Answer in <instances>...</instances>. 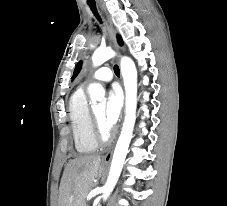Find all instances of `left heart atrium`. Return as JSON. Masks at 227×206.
Segmentation results:
<instances>
[{
    "instance_id": "left-heart-atrium-1",
    "label": "left heart atrium",
    "mask_w": 227,
    "mask_h": 206,
    "mask_svg": "<svg viewBox=\"0 0 227 206\" xmlns=\"http://www.w3.org/2000/svg\"><path fill=\"white\" fill-rule=\"evenodd\" d=\"M122 104L123 97L121 91L118 88L111 89L108 93L103 115V123L108 131L111 130L118 121Z\"/></svg>"
}]
</instances>
